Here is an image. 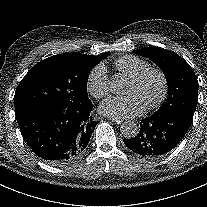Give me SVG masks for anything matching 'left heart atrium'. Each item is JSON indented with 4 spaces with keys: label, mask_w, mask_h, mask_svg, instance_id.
<instances>
[{
    "label": "left heart atrium",
    "mask_w": 207,
    "mask_h": 207,
    "mask_svg": "<svg viewBox=\"0 0 207 207\" xmlns=\"http://www.w3.org/2000/svg\"><path fill=\"white\" fill-rule=\"evenodd\" d=\"M144 107L134 95L125 97L111 96L100 105V111L110 117L117 119H130L141 115Z\"/></svg>",
    "instance_id": "obj_1"
}]
</instances>
